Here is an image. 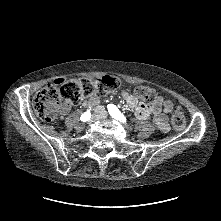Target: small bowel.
I'll return each instance as SVG.
<instances>
[{
  "mask_svg": "<svg viewBox=\"0 0 221 221\" xmlns=\"http://www.w3.org/2000/svg\"><path fill=\"white\" fill-rule=\"evenodd\" d=\"M68 79L65 76L54 77L51 80L54 86H63L67 84ZM121 96L126 101V105L129 110L133 111L139 120H146L150 113L154 115V122L158 129L162 132H167L169 130V124L167 119V113L171 110L173 104L170 100L163 97L159 98V102L154 106H149L145 103L139 102L138 99L126 90L121 91ZM99 103V98L96 96H91L86 104L97 105ZM67 110V109H66ZM102 108L96 106L95 113L97 115L101 114Z\"/></svg>",
  "mask_w": 221,
  "mask_h": 221,
  "instance_id": "c3829d8e",
  "label": "small bowel"
}]
</instances>
